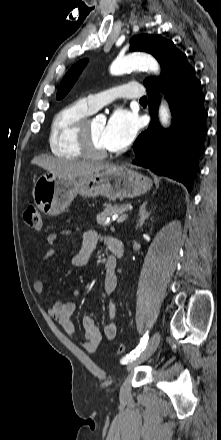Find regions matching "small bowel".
I'll use <instances>...</instances> for the list:
<instances>
[{"mask_svg": "<svg viewBox=\"0 0 221 440\" xmlns=\"http://www.w3.org/2000/svg\"><path fill=\"white\" fill-rule=\"evenodd\" d=\"M77 233V229L64 228L59 232H52L48 235L47 241L49 244H55L60 238L74 236ZM112 238L105 240L106 245L109 247ZM99 242V235L94 230H87L83 233L81 239V245L79 251L73 256L72 264L75 267H85L90 259L91 254L96 248ZM56 252L53 248H49L42 256V262L48 263L54 259ZM112 257H108L107 261H112ZM106 261V262H107ZM106 264V263H105ZM51 267H48V271ZM117 275L115 271L106 272L103 281V292L106 296L111 297L117 287ZM34 290L37 293H43L45 289L44 282L42 280H36L33 284ZM75 297L80 295V290L75 289L73 291ZM76 310V303L74 301H55L48 309L49 315L57 322V324L64 330L69 336H73L76 333L74 323L71 319ZM116 304L110 299L108 303V320L104 327L103 333L95 324L92 316L86 315L82 319V327L84 330V339L82 340V346L90 352L97 350L101 345L103 339L108 341L113 340L117 335L116 325Z\"/></svg>", "mask_w": 221, "mask_h": 440, "instance_id": "c3829d8e", "label": "small bowel"}]
</instances>
